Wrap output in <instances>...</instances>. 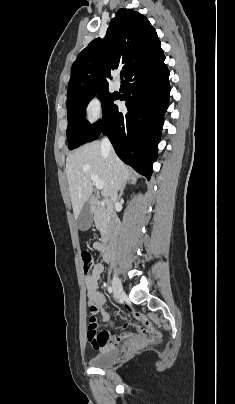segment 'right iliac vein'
I'll list each match as a JSON object with an SVG mask.
<instances>
[{
  "label": "right iliac vein",
  "mask_w": 235,
  "mask_h": 404,
  "mask_svg": "<svg viewBox=\"0 0 235 404\" xmlns=\"http://www.w3.org/2000/svg\"><path fill=\"white\" fill-rule=\"evenodd\" d=\"M113 293L116 300L121 299L124 296L123 288L120 279L117 275L113 276Z\"/></svg>",
  "instance_id": "63e3f726"
}]
</instances>
